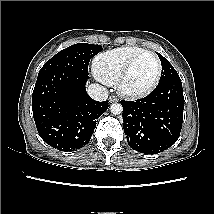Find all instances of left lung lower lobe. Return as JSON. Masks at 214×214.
Masks as SVG:
<instances>
[{
	"label": "left lung lower lobe",
	"instance_id": "1",
	"mask_svg": "<svg viewBox=\"0 0 214 214\" xmlns=\"http://www.w3.org/2000/svg\"><path fill=\"white\" fill-rule=\"evenodd\" d=\"M129 146L144 154H157L179 138L184 110L181 79L159 82L145 98L121 101Z\"/></svg>",
	"mask_w": 214,
	"mask_h": 214
}]
</instances>
